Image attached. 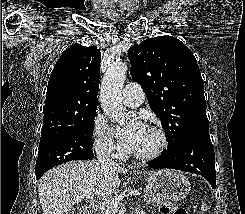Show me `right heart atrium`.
<instances>
[{"instance_id":"d8ad5b80","label":"right heart atrium","mask_w":245,"mask_h":214,"mask_svg":"<svg viewBox=\"0 0 245 214\" xmlns=\"http://www.w3.org/2000/svg\"><path fill=\"white\" fill-rule=\"evenodd\" d=\"M93 139L94 148L100 156L113 157L115 155L117 144L109 125L100 117H96L93 122Z\"/></svg>"}]
</instances>
